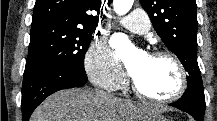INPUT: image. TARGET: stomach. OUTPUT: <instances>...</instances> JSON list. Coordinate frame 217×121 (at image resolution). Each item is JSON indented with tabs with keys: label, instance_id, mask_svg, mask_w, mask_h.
<instances>
[{
	"label": "stomach",
	"instance_id": "obj_1",
	"mask_svg": "<svg viewBox=\"0 0 217 121\" xmlns=\"http://www.w3.org/2000/svg\"><path fill=\"white\" fill-rule=\"evenodd\" d=\"M144 121H167V119L161 114H151L147 118L143 119Z\"/></svg>",
	"mask_w": 217,
	"mask_h": 121
}]
</instances>
